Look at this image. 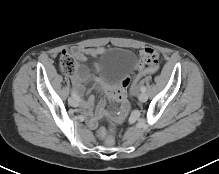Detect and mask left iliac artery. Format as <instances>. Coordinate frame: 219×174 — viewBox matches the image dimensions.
<instances>
[{
	"label": "left iliac artery",
	"mask_w": 219,
	"mask_h": 174,
	"mask_svg": "<svg viewBox=\"0 0 219 174\" xmlns=\"http://www.w3.org/2000/svg\"><path fill=\"white\" fill-rule=\"evenodd\" d=\"M140 90H141V92H145V91H146V87H145V86H142V87L140 88Z\"/></svg>",
	"instance_id": "obj_1"
}]
</instances>
